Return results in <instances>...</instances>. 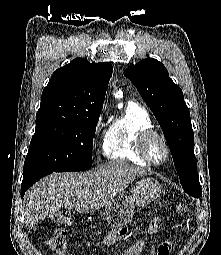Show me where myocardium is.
Here are the masks:
<instances>
[{"label":"myocardium","mask_w":221,"mask_h":255,"mask_svg":"<svg viewBox=\"0 0 221 255\" xmlns=\"http://www.w3.org/2000/svg\"><path fill=\"white\" fill-rule=\"evenodd\" d=\"M158 140L162 144L164 150H165V159L162 162H155L149 152V145L153 140ZM137 150L141 157L150 165L153 166H161L165 164L171 156L169 145L166 141V139L156 130L154 129H148L142 131L137 138Z\"/></svg>","instance_id":"1"}]
</instances>
